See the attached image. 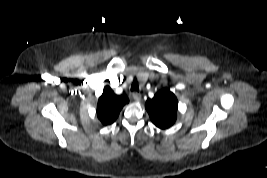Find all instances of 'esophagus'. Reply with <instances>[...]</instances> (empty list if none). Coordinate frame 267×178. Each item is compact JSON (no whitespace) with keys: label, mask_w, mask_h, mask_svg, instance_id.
Returning <instances> with one entry per match:
<instances>
[{"label":"esophagus","mask_w":267,"mask_h":178,"mask_svg":"<svg viewBox=\"0 0 267 178\" xmlns=\"http://www.w3.org/2000/svg\"><path fill=\"white\" fill-rule=\"evenodd\" d=\"M132 97L135 101L141 100V94L140 93L134 92V93H132Z\"/></svg>","instance_id":"esophagus-1"}]
</instances>
